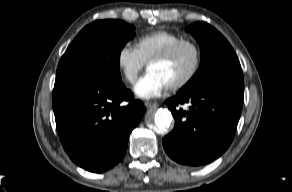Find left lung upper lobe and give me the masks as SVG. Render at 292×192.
Segmentation results:
<instances>
[{"instance_id":"left-lung-upper-lobe-1","label":"left lung upper lobe","mask_w":292,"mask_h":192,"mask_svg":"<svg viewBox=\"0 0 292 192\" xmlns=\"http://www.w3.org/2000/svg\"><path fill=\"white\" fill-rule=\"evenodd\" d=\"M201 49V64L194 76L178 93L197 88L220 85H244L239 60L229 42L212 26L197 22L186 28Z\"/></svg>"}]
</instances>
